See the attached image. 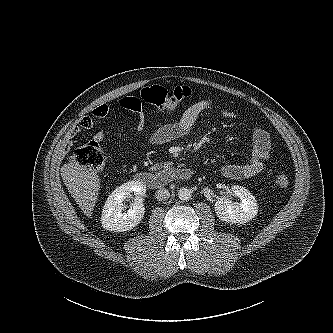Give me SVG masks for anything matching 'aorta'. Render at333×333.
<instances>
[{
	"label": "aorta",
	"instance_id": "762f6f07",
	"mask_svg": "<svg viewBox=\"0 0 333 333\" xmlns=\"http://www.w3.org/2000/svg\"><path fill=\"white\" fill-rule=\"evenodd\" d=\"M191 190L188 188H180L178 191V197L182 201H188L191 198Z\"/></svg>",
	"mask_w": 333,
	"mask_h": 333
}]
</instances>
